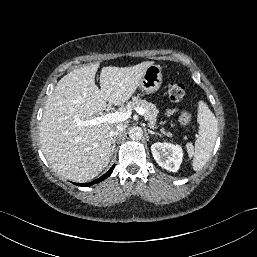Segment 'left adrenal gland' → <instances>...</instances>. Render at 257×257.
I'll list each match as a JSON object with an SVG mask.
<instances>
[{"instance_id":"left-adrenal-gland-1","label":"left adrenal gland","mask_w":257,"mask_h":257,"mask_svg":"<svg viewBox=\"0 0 257 257\" xmlns=\"http://www.w3.org/2000/svg\"><path fill=\"white\" fill-rule=\"evenodd\" d=\"M147 131H148L149 134H152V135H160V136H161V134H159V133H157V132H154V131H152V130H150V129H148Z\"/></svg>"}]
</instances>
